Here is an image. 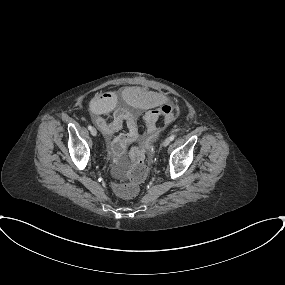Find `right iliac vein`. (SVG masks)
<instances>
[{"mask_svg":"<svg viewBox=\"0 0 285 285\" xmlns=\"http://www.w3.org/2000/svg\"><path fill=\"white\" fill-rule=\"evenodd\" d=\"M90 132H91V135H92V136H96V135H97V130H96L95 128H92V129L90 130Z\"/></svg>","mask_w":285,"mask_h":285,"instance_id":"1","label":"right iliac vein"}]
</instances>
